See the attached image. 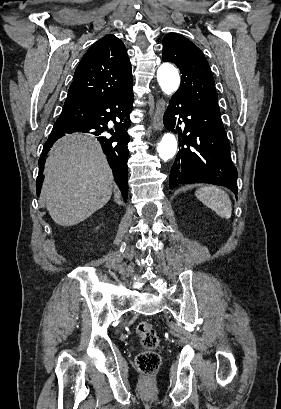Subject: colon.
I'll return each mask as SVG.
<instances>
[{"label":"colon","mask_w":281,"mask_h":409,"mask_svg":"<svg viewBox=\"0 0 281 409\" xmlns=\"http://www.w3.org/2000/svg\"><path fill=\"white\" fill-rule=\"evenodd\" d=\"M137 333L141 337L145 351L136 360L139 370L146 374L156 371L160 365V356L156 350L160 346V338L152 324L140 323L136 327Z\"/></svg>","instance_id":"5ec220e1"}]
</instances>
